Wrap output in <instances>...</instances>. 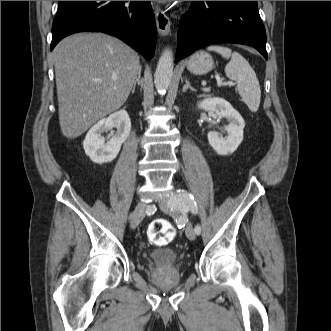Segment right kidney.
Here are the masks:
<instances>
[{"mask_svg":"<svg viewBox=\"0 0 331 331\" xmlns=\"http://www.w3.org/2000/svg\"><path fill=\"white\" fill-rule=\"evenodd\" d=\"M116 128V133L105 141L102 133ZM131 131V121L125 110L117 111L97 122L87 133L83 148L94 163L103 164L113 161L127 140Z\"/></svg>","mask_w":331,"mask_h":331,"instance_id":"ca27d5eb","label":"right kidney"}]
</instances>
